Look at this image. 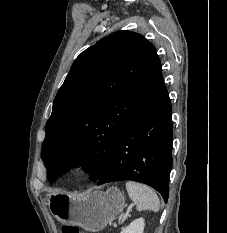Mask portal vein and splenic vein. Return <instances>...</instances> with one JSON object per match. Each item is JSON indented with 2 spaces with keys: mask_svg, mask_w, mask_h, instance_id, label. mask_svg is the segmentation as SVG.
<instances>
[{
  "mask_svg": "<svg viewBox=\"0 0 227 233\" xmlns=\"http://www.w3.org/2000/svg\"><path fill=\"white\" fill-rule=\"evenodd\" d=\"M132 206L129 207L128 211L124 214L123 218L119 220V224H123L125 220L129 217V211H131Z\"/></svg>",
  "mask_w": 227,
  "mask_h": 233,
  "instance_id": "portal-vein-and-splenic-vein-1",
  "label": "portal vein and splenic vein"
}]
</instances>
